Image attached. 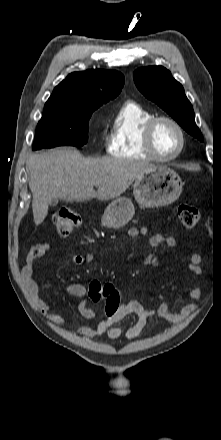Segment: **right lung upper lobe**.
I'll return each instance as SVG.
<instances>
[{"mask_svg": "<svg viewBox=\"0 0 221 440\" xmlns=\"http://www.w3.org/2000/svg\"><path fill=\"white\" fill-rule=\"evenodd\" d=\"M123 85L124 76L117 71L95 69L74 72L55 87L46 103L101 106L115 98Z\"/></svg>", "mask_w": 221, "mask_h": 440, "instance_id": "cb5924a9", "label": "right lung upper lobe"}]
</instances>
